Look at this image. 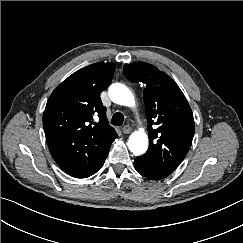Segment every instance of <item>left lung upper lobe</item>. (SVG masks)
Masks as SVG:
<instances>
[{
	"label": "left lung upper lobe",
	"mask_w": 243,
	"mask_h": 243,
	"mask_svg": "<svg viewBox=\"0 0 243 243\" xmlns=\"http://www.w3.org/2000/svg\"><path fill=\"white\" fill-rule=\"evenodd\" d=\"M123 73L131 82L146 84L143 98L149 148L138 159L171 173L192 144L195 123L191 108L178 85L155 66L145 62L125 64Z\"/></svg>",
	"instance_id": "left-lung-upper-lobe-1"
}]
</instances>
